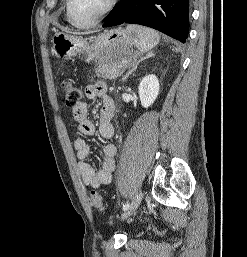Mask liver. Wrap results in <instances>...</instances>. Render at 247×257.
<instances>
[{"instance_id":"obj_1","label":"liver","mask_w":247,"mask_h":257,"mask_svg":"<svg viewBox=\"0 0 247 257\" xmlns=\"http://www.w3.org/2000/svg\"><path fill=\"white\" fill-rule=\"evenodd\" d=\"M78 34H88V32H82V33H78Z\"/></svg>"}]
</instances>
